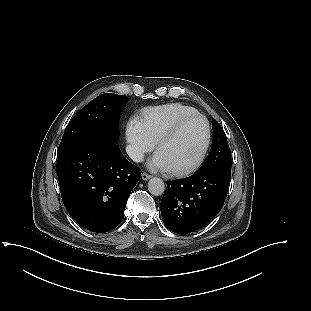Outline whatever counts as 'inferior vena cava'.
I'll return each instance as SVG.
<instances>
[{
  "label": "inferior vena cava",
  "mask_w": 311,
  "mask_h": 311,
  "mask_svg": "<svg viewBox=\"0 0 311 311\" xmlns=\"http://www.w3.org/2000/svg\"><path fill=\"white\" fill-rule=\"evenodd\" d=\"M128 156L135 162H142L144 159L143 152L136 146L128 145L126 147Z\"/></svg>",
  "instance_id": "obj_1"
}]
</instances>
